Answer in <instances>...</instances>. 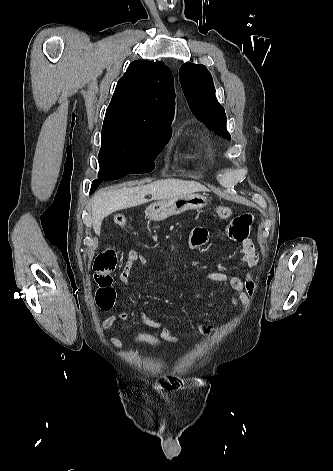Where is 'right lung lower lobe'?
<instances>
[{
	"label": "right lung lower lobe",
	"mask_w": 333,
	"mask_h": 471,
	"mask_svg": "<svg viewBox=\"0 0 333 471\" xmlns=\"http://www.w3.org/2000/svg\"><path fill=\"white\" fill-rule=\"evenodd\" d=\"M101 182H103V181L102 180L93 181L90 193H93L97 189V187L100 185Z\"/></svg>",
	"instance_id": "1"
}]
</instances>
